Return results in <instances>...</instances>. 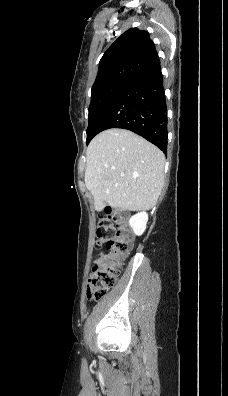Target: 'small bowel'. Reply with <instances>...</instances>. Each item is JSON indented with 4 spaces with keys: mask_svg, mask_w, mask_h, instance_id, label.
I'll return each mask as SVG.
<instances>
[{
    "mask_svg": "<svg viewBox=\"0 0 228 396\" xmlns=\"http://www.w3.org/2000/svg\"><path fill=\"white\" fill-rule=\"evenodd\" d=\"M98 261H99V257L98 258H96V259H94V263H98Z\"/></svg>",
    "mask_w": 228,
    "mask_h": 396,
    "instance_id": "1",
    "label": "small bowel"
}]
</instances>
